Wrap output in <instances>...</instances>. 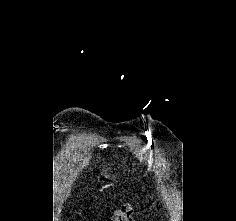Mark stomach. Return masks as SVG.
I'll use <instances>...</instances> for the list:
<instances>
[{"instance_id":"0dacf381","label":"stomach","mask_w":236,"mask_h":221,"mask_svg":"<svg viewBox=\"0 0 236 221\" xmlns=\"http://www.w3.org/2000/svg\"><path fill=\"white\" fill-rule=\"evenodd\" d=\"M102 175H104L105 177H107V171H104V172L102 173Z\"/></svg>"}]
</instances>
